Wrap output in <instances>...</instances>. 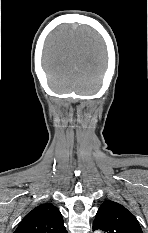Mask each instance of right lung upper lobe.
Masks as SVG:
<instances>
[{"label": "right lung upper lobe", "mask_w": 148, "mask_h": 233, "mask_svg": "<svg viewBox=\"0 0 148 233\" xmlns=\"http://www.w3.org/2000/svg\"><path fill=\"white\" fill-rule=\"evenodd\" d=\"M14 233H67L60 211L51 203L35 207Z\"/></svg>", "instance_id": "obj_1"}]
</instances>
